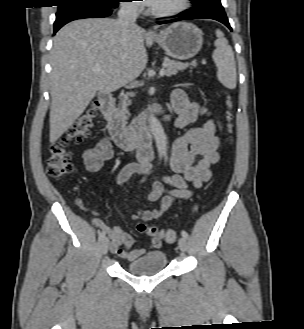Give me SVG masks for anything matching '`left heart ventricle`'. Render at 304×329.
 I'll list each match as a JSON object with an SVG mask.
<instances>
[{
    "instance_id": "obj_1",
    "label": "left heart ventricle",
    "mask_w": 304,
    "mask_h": 329,
    "mask_svg": "<svg viewBox=\"0 0 304 329\" xmlns=\"http://www.w3.org/2000/svg\"><path fill=\"white\" fill-rule=\"evenodd\" d=\"M179 1L180 0H155L150 7L156 10L170 9L177 6Z\"/></svg>"
}]
</instances>
